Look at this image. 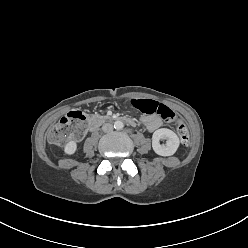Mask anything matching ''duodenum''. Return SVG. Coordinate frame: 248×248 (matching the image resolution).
<instances>
[{"mask_svg":"<svg viewBox=\"0 0 248 248\" xmlns=\"http://www.w3.org/2000/svg\"><path fill=\"white\" fill-rule=\"evenodd\" d=\"M105 120H107V118H97V119L91 120L89 122V125H88L89 130L94 131ZM121 120L126 122L127 124H129L131 126L135 125V122L130 118L122 117Z\"/></svg>","mask_w":248,"mask_h":248,"instance_id":"410a0bca","label":"duodenum"}]
</instances>
